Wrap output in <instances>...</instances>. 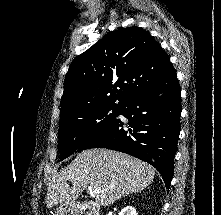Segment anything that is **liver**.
<instances>
[{
	"instance_id": "liver-1",
	"label": "liver",
	"mask_w": 221,
	"mask_h": 215,
	"mask_svg": "<svg viewBox=\"0 0 221 215\" xmlns=\"http://www.w3.org/2000/svg\"><path fill=\"white\" fill-rule=\"evenodd\" d=\"M154 176L155 169L151 165L125 153L85 150L49 179L46 206L52 208L58 203L72 202L87 186L101 190L96 195V204L110 206L122 197L141 192Z\"/></svg>"
}]
</instances>
